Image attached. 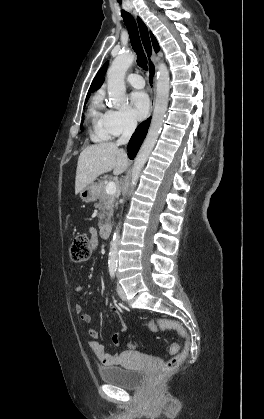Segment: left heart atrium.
Returning <instances> with one entry per match:
<instances>
[{
  "label": "left heart atrium",
  "instance_id": "left-heart-atrium-1",
  "mask_svg": "<svg viewBox=\"0 0 264 419\" xmlns=\"http://www.w3.org/2000/svg\"><path fill=\"white\" fill-rule=\"evenodd\" d=\"M130 99L134 115L140 120L144 119L150 108V102L147 94L143 91L133 92Z\"/></svg>",
  "mask_w": 264,
  "mask_h": 419
}]
</instances>
